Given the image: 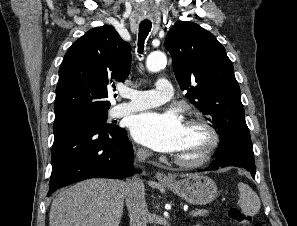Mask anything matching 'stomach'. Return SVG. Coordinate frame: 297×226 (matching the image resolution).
<instances>
[{
    "instance_id": "stomach-1",
    "label": "stomach",
    "mask_w": 297,
    "mask_h": 226,
    "mask_svg": "<svg viewBox=\"0 0 297 226\" xmlns=\"http://www.w3.org/2000/svg\"><path fill=\"white\" fill-rule=\"evenodd\" d=\"M173 193L188 203L203 205L212 202L218 195L216 183L209 177L191 174L182 180L164 183Z\"/></svg>"
}]
</instances>
